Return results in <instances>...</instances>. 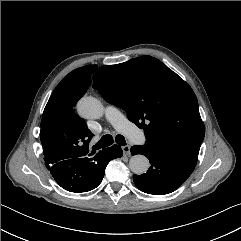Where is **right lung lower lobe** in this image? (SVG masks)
<instances>
[{"label":"right lung lower lobe","instance_id":"1","mask_svg":"<svg viewBox=\"0 0 241 241\" xmlns=\"http://www.w3.org/2000/svg\"><path fill=\"white\" fill-rule=\"evenodd\" d=\"M122 155L121 147L113 145L98 153L91 152L55 161L44 160L47 169L61 187L81 193L95 189L104 177L107 164Z\"/></svg>","mask_w":241,"mask_h":241}]
</instances>
